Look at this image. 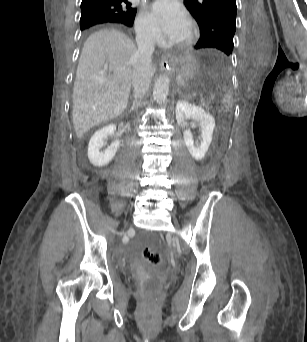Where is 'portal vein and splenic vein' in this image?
Listing matches in <instances>:
<instances>
[{
  "mask_svg": "<svg viewBox=\"0 0 307 342\" xmlns=\"http://www.w3.org/2000/svg\"><path fill=\"white\" fill-rule=\"evenodd\" d=\"M196 94L198 95V99L197 100L199 101V105L203 106L205 104L203 101H201L202 98H203V95L199 91Z\"/></svg>",
  "mask_w": 307,
  "mask_h": 342,
  "instance_id": "portal-vein-and-splenic-vein-1",
  "label": "portal vein and splenic vein"
}]
</instances>
